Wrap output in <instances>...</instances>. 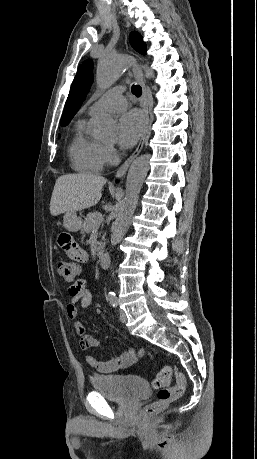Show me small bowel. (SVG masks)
Returning <instances> with one entry per match:
<instances>
[{
  "mask_svg": "<svg viewBox=\"0 0 257 459\" xmlns=\"http://www.w3.org/2000/svg\"><path fill=\"white\" fill-rule=\"evenodd\" d=\"M56 242L64 257L69 264H88L89 256L87 250L75 239L71 230H62L61 235H57ZM69 301L66 305V316L72 321L73 328L79 336V346L82 350L98 347L100 342L93 336L86 333L84 326L78 319V305L87 308L92 301L91 291L85 279H78L68 289ZM144 355V350L129 348L118 357L109 360L97 359L94 355L85 356L86 362L98 372L109 373L119 368L128 367L137 362Z\"/></svg>",
  "mask_w": 257,
  "mask_h": 459,
  "instance_id": "1",
  "label": "small bowel"
}]
</instances>
